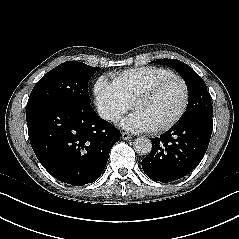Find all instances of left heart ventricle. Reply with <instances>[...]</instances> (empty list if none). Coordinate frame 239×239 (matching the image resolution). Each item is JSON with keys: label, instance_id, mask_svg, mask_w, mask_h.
Segmentation results:
<instances>
[{"label": "left heart ventricle", "instance_id": "b2bd125f", "mask_svg": "<svg viewBox=\"0 0 239 239\" xmlns=\"http://www.w3.org/2000/svg\"><path fill=\"white\" fill-rule=\"evenodd\" d=\"M183 92V86L179 80L168 79L150 98L139 102L134 112L139 113L152 128L164 125L180 110Z\"/></svg>", "mask_w": 239, "mask_h": 239}]
</instances>
